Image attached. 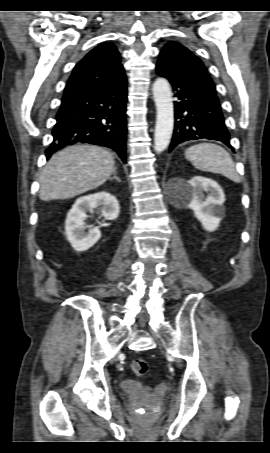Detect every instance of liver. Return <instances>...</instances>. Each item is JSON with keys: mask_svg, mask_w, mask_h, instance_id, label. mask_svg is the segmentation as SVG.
Listing matches in <instances>:
<instances>
[{"mask_svg": "<svg viewBox=\"0 0 270 453\" xmlns=\"http://www.w3.org/2000/svg\"><path fill=\"white\" fill-rule=\"evenodd\" d=\"M112 154L92 145H74L53 155L39 177L42 201L69 199L102 185L114 172Z\"/></svg>", "mask_w": 270, "mask_h": 453, "instance_id": "6515ba94", "label": "liver"}]
</instances>
